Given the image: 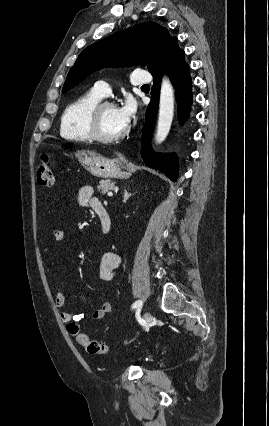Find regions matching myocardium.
Returning a JSON list of instances; mask_svg holds the SVG:
<instances>
[{
	"mask_svg": "<svg viewBox=\"0 0 269 426\" xmlns=\"http://www.w3.org/2000/svg\"><path fill=\"white\" fill-rule=\"evenodd\" d=\"M107 107H116V104L109 100H100L90 109L87 120L88 130L93 140L105 144L117 143L127 136L129 130L128 128H125V130L120 135L115 137H105L101 133L99 126L100 115L102 111Z\"/></svg>",
	"mask_w": 269,
	"mask_h": 426,
	"instance_id": "obj_1",
	"label": "myocardium"
}]
</instances>
